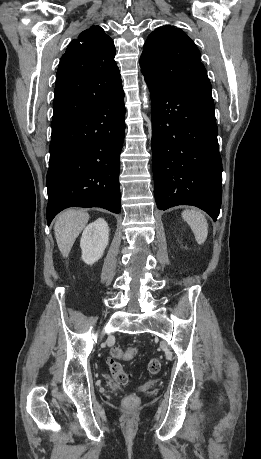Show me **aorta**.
Returning <instances> with one entry per match:
<instances>
[{
	"label": "aorta",
	"mask_w": 261,
	"mask_h": 459,
	"mask_svg": "<svg viewBox=\"0 0 261 459\" xmlns=\"http://www.w3.org/2000/svg\"><path fill=\"white\" fill-rule=\"evenodd\" d=\"M143 94H144V101L146 103L145 107L148 108V96H147V90L146 88L144 87V90H143Z\"/></svg>",
	"instance_id": "762f6f07"
}]
</instances>
